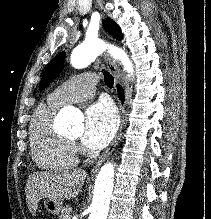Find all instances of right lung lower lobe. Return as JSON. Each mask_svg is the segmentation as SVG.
Segmentation results:
<instances>
[{
  "label": "right lung lower lobe",
  "mask_w": 211,
  "mask_h": 219,
  "mask_svg": "<svg viewBox=\"0 0 211 219\" xmlns=\"http://www.w3.org/2000/svg\"><path fill=\"white\" fill-rule=\"evenodd\" d=\"M118 92H119V98L124 101V98H123V91L121 88H118Z\"/></svg>",
  "instance_id": "98d812e1"
}]
</instances>
